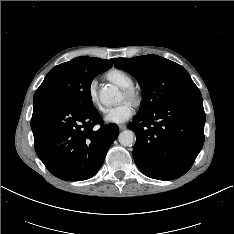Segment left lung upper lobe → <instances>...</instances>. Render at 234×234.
Segmentation results:
<instances>
[{
	"mask_svg": "<svg viewBox=\"0 0 234 234\" xmlns=\"http://www.w3.org/2000/svg\"><path fill=\"white\" fill-rule=\"evenodd\" d=\"M115 67L138 80L142 101L137 115L152 112L171 98L197 88L181 65L157 55L117 58Z\"/></svg>",
	"mask_w": 234,
	"mask_h": 234,
	"instance_id": "1",
	"label": "left lung upper lobe"
}]
</instances>
